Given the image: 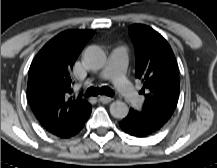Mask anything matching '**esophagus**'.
Instances as JSON below:
<instances>
[{"mask_svg": "<svg viewBox=\"0 0 217 168\" xmlns=\"http://www.w3.org/2000/svg\"><path fill=\"white\" fill-rule=\"evenodd\" d=\"M111 97L105 96V95H101L99 96V101L103 104H107L109 102H111Z\"/></svg>", "mask_w": 217, "mask_h": 168, "instance_id": "34e87169", "label": "esophagus"}]
</instances>
